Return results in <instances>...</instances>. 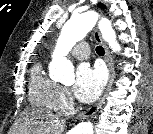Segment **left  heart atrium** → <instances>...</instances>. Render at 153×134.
<instances>
[{
  "label": "left heart atrium",
  "mask_w": 153,
  "mask_h": 134,
  "mask_svg": "<svg viewBox=\"0 0 153 134\" xmlns=\"http://www.w3.org/2000/svg\"><path fill=\"white\" fill-rule=\"evenodd\" d=\"M105 83V73L100 67L81 64L75 75L74 94L82 102H92L101 93Z\"/></svg>",
  "instance_id": "left-heart-atrium-1"
}]
</instances>
